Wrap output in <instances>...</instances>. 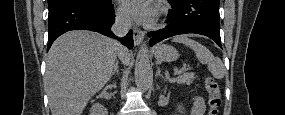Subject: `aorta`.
I'll return each mask as SVG.
<instances>
[{"label": "aorta", "instance_id": "762f6f07", "mask_svg": "<svg viewBox=\"0 0 285 115\" xmlns=\"http://www.w3.org/2000/svg\"><path fill=\"white\" fill-rule=\"evenodd\" d=\"M151 80H152V75H151L148 48L144 43L141 46L136 58L135 83L140 90L146 91L151 84Z\"/></svg>", "mask_w": 285, "mask_h": 115}]
</instances>
